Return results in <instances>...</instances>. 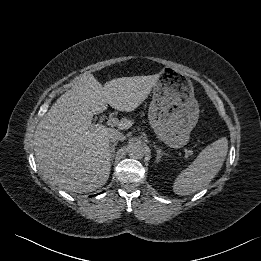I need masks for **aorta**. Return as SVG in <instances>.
Wrapping results in <instances>:
<instances>
[{
  "mask_svg": "<svg viewBox=\"0 0 261 261\" xmlns=\"http://www.w3.org/2000/svg\"><path fill=\"white\" fill-rule=\"evenodd\" d=\"M128 154L132 158L140 159L144 156L145 149L140 142H133V143L129 144Z\"/></svg>",
  "mask_w": 261,
  "mask_h": 261,
  "instance_id": "aorta-1",
  "label": "aorta"
}]
</instances>
